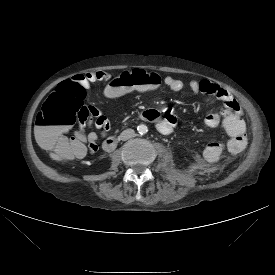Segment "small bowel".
Segmentation results:
<instances>
[{"label": "small bowel", "mask_w": 275, "mask_h": 275, "mask_svg": "<svg viewBox=\"0 0 275 275\" xmlns=\"http://www.w3.org/2000/svg\"><path fill=\"white\" fill-rule=\"evenodd\" d=\"M108 76L103 72H92L88 74H77L73 77L74 81L79 82L85 88H88L91 83L98 80H106ZM164 84L172 91H181L184 88V83L180 79L166 76L163 80ZM190 89L192 92L204 93L207 95L216 96L223 103V110L220 112H210L204 117V123L208 127H217L221 125L226 134L229 136V149L232 153H238L244 149L247 143L246 126L240 115V107L233 96L224 88L217 84H213L210 80L202 82L191 81ZM147 91V90H146ZM92 107V106H91ZM89 119L80 124L78 131L79 136L87 143L88 151L94 154L98 150V141L105 136L109 130L107 119L95 107ZM150 122L156 124L157 129L163 134H170L176 127L177 116L175 110L167 108L161 112L159 108L153 107L147 113ZM94 127L101 129V134L96 132L85 133V127ZM225 151V145L222 140L213 138L208 141L202 150V155L205 160L214 162L218 160Z\"/></svg>", "instance_id": "c3829d8e"}]
</instances>
